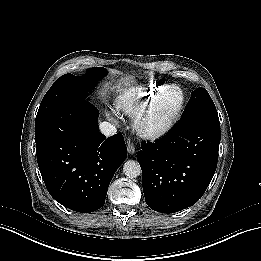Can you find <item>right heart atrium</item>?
Wrapping results in <instances>:
<instances>
[{
    "instance_id": "1",
    "label": "right heart atrium",
    "mask_w": 261,
    "mask_h": 261,
    "mask_svg": "<svg viewBox=\"0 0 261 261\" xmlns=\"http://www.w3.org/2000/svg\"><path fill=\"white\" fill-rule=\"evenodd\" d=\"M107 116L109 120L114 121V119L109 114H107Z\"/></svg>"
}]
</instances>
